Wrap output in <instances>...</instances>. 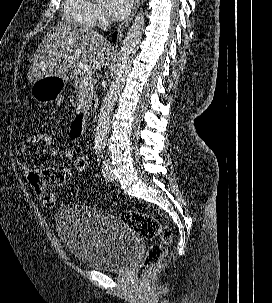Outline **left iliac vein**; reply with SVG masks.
<instances>
[{
  "label": "left iliac vein",
  "instance_id": "1",
  "mask_svg": "<svg viewBox=\"0 0 272 303\" xmlns=\"http://www.w3.org/2000/svg\"><path fill=\"white\" fill-rule=\"evenodd\" d=\"M102 172L103 176L106 178L107 181L112 182L115 180V176L112 173L111 165L108 161L103 162Z\"/></svg>",
  "mask_w": 272,
  "mask_h": 303
}]
</instances>
